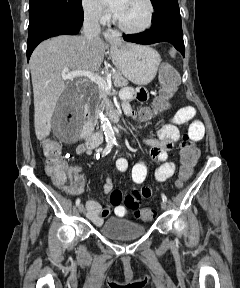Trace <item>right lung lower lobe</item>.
I'll return each instance as SVG.
<instances>
[{
	"label": "right lung lower lobe",
	"instance_id": "obj_1",
	"mask_svg": "<svg viewBox=\"0 0 240 288\" xmlns=\"http://www.w3.org/2000/svg\"><path fill=\"white\" fill-rule=\"evenodd\" d=\"M83 23V13L78 15L55 13L48 15L28 28L27 59L43 40L62 34L75 35Z\"/></svg>",
	"mask_w": 240,
	"mask_h": 288
}]
</instances>
